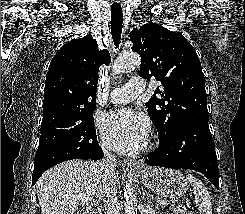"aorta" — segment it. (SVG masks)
<instances>
[{
    "instance_id": "aorta-1",
    "label": "aorta",
    "mask_w": 245,
    "mask_h": 214,
    "mask_svg": "<svg viewBox=\"0 0 245 214\" xmlns=\"http://www.w3.org/2000/svg\"><path fill=\"white\" fill-rule=\"evenodd\" d=\"M140 65V57L136 53L123 54L116 59L112 71L114 74H122L135 69ZM126 198V214H137V196L134 188L128 184L124 190Z\"/></svg>"
}]
</instances>
